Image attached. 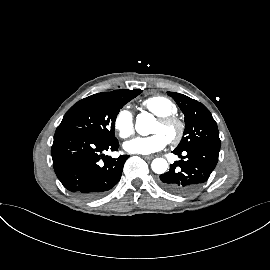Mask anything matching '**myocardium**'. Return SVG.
Instances as JSON below:
<instances>
[{"label":"myocardium","instance_id":"f54148a6","mask_svg":"<svg viewBox=\"0 0 270 270\" xmlns=\"http://www.w3.org/2000/svg\"><path fill=\"white\" fill-rule=\"evenodd\" d=\"M163 126H175L176 133L175 135L168 140L172 145H177L181 142L185 134V123L177 115H167L159 117L157 120Z\"/></svg>","mask_w":270,"mask_h":270}]
</instances>
